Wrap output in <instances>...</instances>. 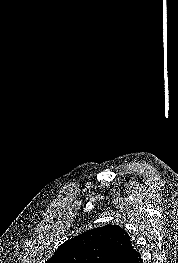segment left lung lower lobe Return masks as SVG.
Masks as SVG:
<instances>
[{"label": "left lung lower lobe", "mask_w": 178, "mask_h": 263, "mask_svg": "<svg viewBox=\"0 0 178 263\" xmlns=\"http://www.w3.org/2000/svg\"><path fill=\"white\" fill-rule=\"evenodd\" d=\"M109 263H143V260L129 237L119 253Z\"/></svg>", "instance_id": "0a47b994"}]
</instances>
